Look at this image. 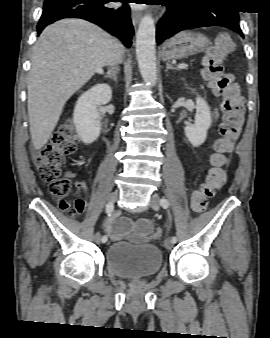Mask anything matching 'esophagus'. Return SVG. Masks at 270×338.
<instances>
[{
    "label": "esophagus",
    "mask_w": 270,
    "mask_h": 338,
    "mask_svg": "<svg viewBox=\"0 0 270 338\" xmlns=\"http://www.w3.org/2000/svg\"><path fill=\"white\" fill-rule=\"evenodd\" d=\"M141 13L136 10L135 8L132 9L131 11V18H132V22H133V25L136 27L137 24L139 23V21L141 20Z\"/></svg>",
    "instance_id": "34e87169"
}]
</instances>
